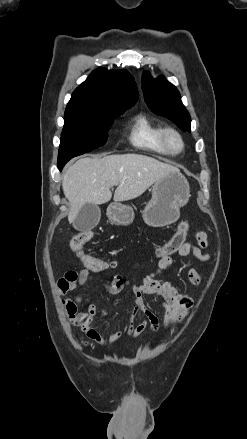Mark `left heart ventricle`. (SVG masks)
I'll return each mask as SVG.
<instances>
[{
  "label": "left heart ventricle",
  "instance_id": "1",
  "mask_svg": "<svg viewBox=\"0 0 247 439\" xmlns=\"http://www.w3.org/2000/svg\"><path fill=\"white\" fill-rule=\"evenodd\" d=\"M170 144H171V146L174 147V148H178V147H179V142H178V140H177L176 138H174V137H171V139H170Z\"/></svg>",
  "mask_w": 247,
  "mask_h": 439
}]
</instances>
